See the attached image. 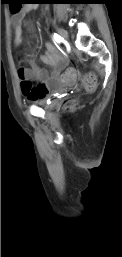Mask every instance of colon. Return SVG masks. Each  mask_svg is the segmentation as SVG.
Listing matches in <instances>:
<instances>
[{"instance_id":"colon-1","label":"colon","mask_w":122,"mask_h":257,"mask_svg":"<svg viewBox=\"0 0 122 257\" xmlns=\"http://www.w3.org/2000/svg\"><path fill=\"white\" fill-rule=\"evenodd\" d=\"M8 10H23V5H8ZM77 77V72L74 67H64L61 75L62 79H59V84H65L68 85V87H77ZM84 83L88 89H92L95 84L94 77L92 75H87L84 78ZM68 105L73 107L75 101H70Z\"/></svg>"}]
</instances>
